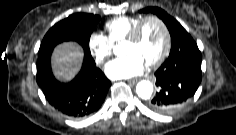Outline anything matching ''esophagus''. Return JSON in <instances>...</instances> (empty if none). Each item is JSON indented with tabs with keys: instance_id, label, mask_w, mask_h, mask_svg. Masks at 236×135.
Instances as JSON below:
<instances>
[{
	"instance_id": "esophagus-1",
	"label": "esophagus",
	"mask_w": 236,
	"mask_h": 135,
	"mask_svg": "<svg viewBox=\"0 0 236 135\" xmlns=\"http://www.w3.org/2000/svg\"><path fill=\"white\" fill-rule=\"evenodd\" d=\"M138 81V79H129L128 82L130 84H135Z\"/></svg>"
}]
</instances>
